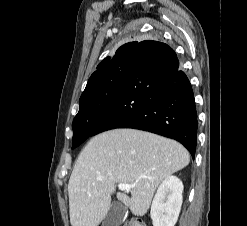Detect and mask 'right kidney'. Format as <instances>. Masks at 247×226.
Here are the masks:
<instances>
[{
  "label": "right kidney",
  "instance_id": "right-kidney-1",
  "mask_svg": "<svg viewBox=\"0 0 247 226\" xmlns=\"http://www.w3.org/2000/svg\"><path fill=\"white\" fill-rule=\"evenodd\" d=\"M183 183L176 176H168L159 186L151 205L153 226H174L182 205Z\"/></svg>",
  "mask_w": 247,
  "mask_h": 226
}]
</instances>
